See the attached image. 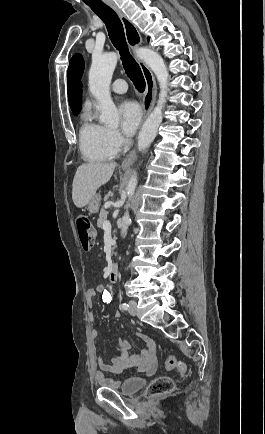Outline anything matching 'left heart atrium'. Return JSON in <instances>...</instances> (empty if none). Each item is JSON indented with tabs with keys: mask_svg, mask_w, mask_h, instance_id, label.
Returning <instances> with one entry per match:
<instances>
[{
	"mask_svg": "<svg viewBox=\"0 0 265 434\" xmlns=\"http://www.w3.org/2000/svg\"><path fill=\"white\" fill-rule=\"evenodd\" d=\"M120 127L122 132L131 136L137 130L142 112L139 104L136 101L127 100L120 104Z\"/></svg>",
	"mask_w": 265,
	"mask_h": 434,
	"instance_id": "left-heart-atrium-1",
	"label": "left heart atrium"
}]
</instances>
